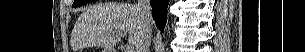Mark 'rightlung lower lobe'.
<instances>
[{"label": "right lung lower lobe", "instance_id": "1", "mask_svg": "<svg viewBox=\"0 0 305 52\" xmlns=\"http://www.w3.org/2000/svg\"><path fill=\"white\" fill-rule=\"evenodd\" d=\"M168 3L169 0H151L153 19L161 31L166 24Z\"/></svg>", "mask_w": 305, "mask_h": 52}]
</instances>
